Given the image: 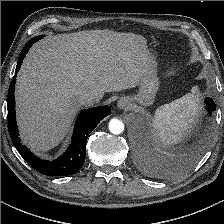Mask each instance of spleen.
Segmentation results:
<instances>
[{
	"label": "spleen",
	"mask_w": 224,
	"mask_h": 224,
	"mask_svg": "<svg viewBox=\"0 0 224 224\" xmlns=\"http://www.w3.org/2000/svg\"><path fill=\"white\" fill-rule=\"evenodd\" d=\"M198 87L172 103L165 104L155 112L154 127L156 135L164 143H174L188 135L200 114Z\"/></svg>",
	"instance_id": "obj_1"
}]
</instances>
